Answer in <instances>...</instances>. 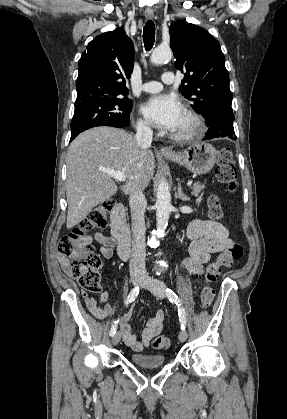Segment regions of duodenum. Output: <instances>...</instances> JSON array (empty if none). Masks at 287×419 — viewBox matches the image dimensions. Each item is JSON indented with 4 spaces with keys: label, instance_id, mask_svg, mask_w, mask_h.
Instances as JSON below:
<instances>
[{
    "label": "duodenum",
    "instance_id": "duodenum-1",
    "mask_svg": "<svg viewBox=\"0 0 287 419\" xmlns=\"http://www.w3.org/2000/svg\"><path fill=\"white\" fill-rule=\"evenodd\" d=\"M111 233L118 243V254L126 259L130 252V232L126 222L125 206L116 203L111 211Z\"/></svg>",
    "mask_w": 287,
    "mask_h": 419
}]
</instances>
